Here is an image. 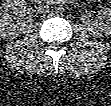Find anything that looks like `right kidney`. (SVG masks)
I'll use <instances>...</instances> for the list:
<instances>
[{
	"instance_id": "right-kidney-1",
	"label": "right kidney",
	"mask_w": 111,
	"mask_h": 106,
	"mask_svg": "<svg viewBox=\"0 0 111 106\" xmlns=\"http://www.w3.org/2000/svg\"><path fill=\"white\" fill-rule=\"evenodd\" d=\"M26 8L24 0H6L0 7V34L3 38H15L26 32L28 24L31 22L30 16H24L21 20L13 22V16L20 10Z\"/></svg>"
}]
</instances>
